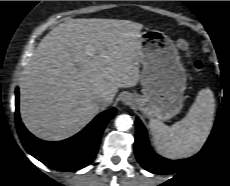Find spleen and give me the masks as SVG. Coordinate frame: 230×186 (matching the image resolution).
<instances>
[{"label":"spleen","instance_id":"3e777b00","mask_svg":"<svg viewBox=\"0 0 230 186\" xmlns=\"http://www.w3.org/2000/svg\"><path fill=\"white\" fill-rule=\"evenodd\" d=\"M214 113V95L209 88H206L198 93L187 115L173 126L151 119L149 127L156 149L172 159L196 154L210 134Z\"/></svg>","mask_w":230,"mask_h":186}]
</instances>
